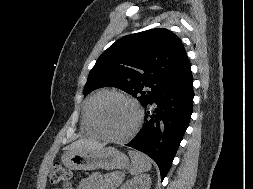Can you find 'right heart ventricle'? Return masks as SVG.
<instances>
[{
  "label": "right heart ventricle",
  "instance_id": "e07e8e85",
  "mask_svg": "<svg viewBox=\"0 0 253 189\" xmlns=\"http://www.w3.org/2000/svg\"><path fill=\"white\" fill-rule=\"evenodd\" d=\"M100 93H102V92H100ZM100 93H97V94L91 96L84 103L83 110H82V125H83V128L89 135L95 136V137H100L101 134L97 131V129L92 124L91 117H90V108H91L92 102L94 101L96 96L99 95Z\"/></svg>",
  "mask_w": 253,
  "mask_h": 189
}]
</instances>
